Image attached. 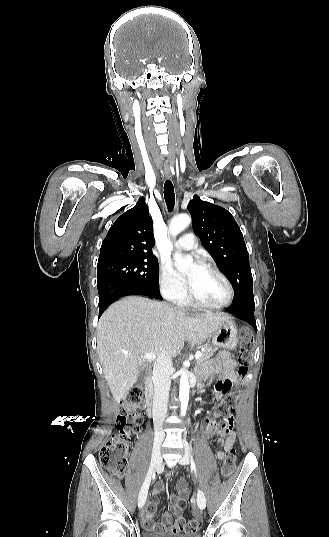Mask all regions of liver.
I'll return each mask as SVG.
<instances>
[{
  "label": "liver",
  "instance_id": "liver-1",
  "mask_svg": "<svg viewBox=\"0 0 329 537\" xmlns=\"http://www.w3.org/2000/svg\"><path fill=\"white\" fill-rule=\"evenodd\" d=\"M230 319L213 313L188 317L165 303L136 296L110 305L98 323L97 351L114 399L119 402L137 381L149 361L143 355H159L164 349L176 357L186 340L201 344Z\"/></svg>",
  "mask_w": 329,
  "mask_h": 537
}]
</instances>
